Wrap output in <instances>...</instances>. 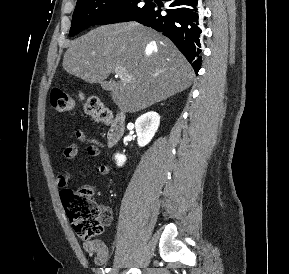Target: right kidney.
<instances>
[{"label":"right kidney","instance_id":"right-kidney-1","mask_svg":"<svg viewBox=\"0 0 289 274\" xmlns=\"http://www.w3.org/2000/svg\"><path fill=\"white\" fill-rule=\"evenodd\" d=\"M160 124V116L157 112H147L135 121L137 142L139 147L146 146L154 137ZM118 166H122L126 161V156L117 153L115 155Z\"/></svg>","mask_w":289,"mask_h":274}]
</instances>
